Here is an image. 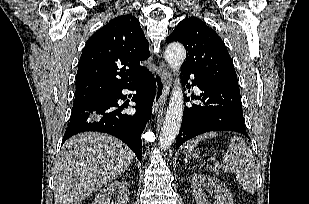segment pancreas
Returning a JSON list of instances; mask_svg holds the SVG:
<instances>
[{"label":"pancreas","mask_w":309,"mask_h":204,"mask_svg":"<svg viewBox=\"0 0 309 204\" xmlns=\"http://www.w3.org/2000/svg\"><path fill=\"white\" fill-rule=\"evenodd\" d=\"M210 169V171H213V172H216L218 173L219 172V169L218 168H214V167H208Z\"/></svg>","instance_id":"pancreas-1"}]
</instances>
